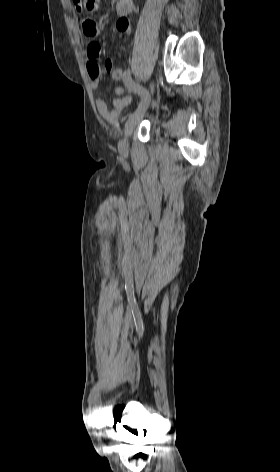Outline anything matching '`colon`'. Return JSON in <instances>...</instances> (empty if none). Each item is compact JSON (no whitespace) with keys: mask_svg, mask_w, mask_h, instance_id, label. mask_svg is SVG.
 Listing matches in <instances>:
<instances>
[{"mask_svg":"<svg viewBox=\"0 0 280 472\" xmlns=\"http://www.w3.org/2000/svg\"><path fill=\"white\" fill-rule=\"evenodd\" d=\"M100 0H73L76 4H80L87 12H93L97 9ZM107 71L114 80H121L123 70L120 67H115L110 61L106 63Z\"/></svg>","mask_w":280,"mask_h":472,"instance_id":"5ec220e1","label":"colon"}]
</instances>
